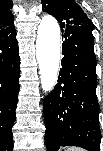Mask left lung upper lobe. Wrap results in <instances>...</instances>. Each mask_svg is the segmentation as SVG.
I'll return each mask as SVG.
<instances>
[{
	"mask_svg": "<svg viewBox=\"0 0 103 151\" xmlns=\"http://www.w3.org/2000/svg\"><path fill=\"white\" fill-rule=\"evenodd\" d=\"M42 4L43 11L58 20L62 31L68 27H80L89 31L94 29L91 20L73 0H42Z\"/></svg>",
	"mask_w": 103,
	"mask_h": 151,
	"instance_id": "1",
	"label": "left lung upper lobe"
}]
</instances>
